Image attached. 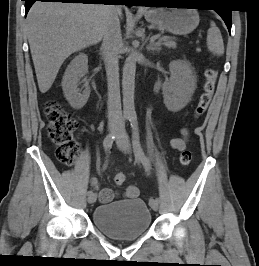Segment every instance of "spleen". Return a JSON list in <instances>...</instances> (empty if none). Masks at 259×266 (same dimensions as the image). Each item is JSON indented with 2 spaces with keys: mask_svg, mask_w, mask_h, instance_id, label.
Listing matches in <instances>:
<instances>
[{
  "mask_svg": "<svg viewBox=\"0 0 259 266\" xmlns=\"http://www.w3.org/2000/svg\"><path fill=\"white\" fill-rule=\"evenodd\" d=\"M207 47L213 55L222 56L224 54L221 32L214 22H211L207 32Z\"/></svg>",
  "mask_w": 259,
  "mask_h": 266,
  "instance_id": "obj_1",
  "label": "spleen"
}]
</instances>
